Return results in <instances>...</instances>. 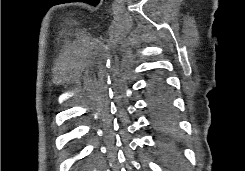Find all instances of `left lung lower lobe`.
<instances>
[{
  "instance_id": "obj_1",
  "label": "left lung lower lobe",
  "mask_w": 245,
  "mask_h": 171,
  "mask_svg": "<svg viewBox=\"0 0 245 171\" xmlns=\"http://www.w3.org/2000/svg\"><path fill=\"white\" fill-rule=\"evenodd\" d=\"M150 92V105L155 121L161 127L168 125L172 114L171 94L160 76L153 78Z\"/></svg>"
}]
</instances>
